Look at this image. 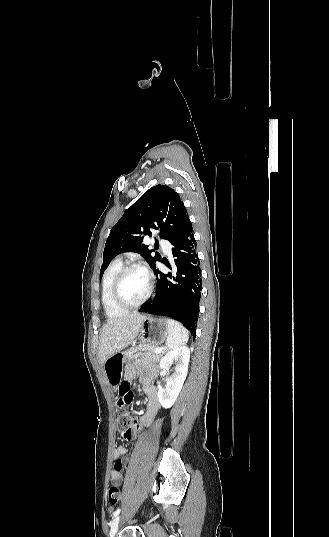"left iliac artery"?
Returning a JSON list of instances; mask_svg holds the SVG:
<instances>
[{
    "label": "left iliac artery",
    "mask_w": 329,
    "mask_h": 537,
    "mask_svg": "<svg viewBox=\"0 0 329 537\" xmlns=\"http://www.w3.org/2000/svg\"><path fill=\"white\" fill-rule=\"evenodd\" d=\"M121 509L118 508L114 513H113V517H116L119 513H120Z\"/></svg>",
    "instance_id": "1"
}]
</instances>
